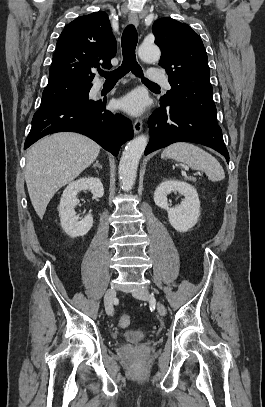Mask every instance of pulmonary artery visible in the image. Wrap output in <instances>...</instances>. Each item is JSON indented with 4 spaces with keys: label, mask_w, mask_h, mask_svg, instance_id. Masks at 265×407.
Here are the masks:
<instances>
[{
    "label": "pulmonary artery",
    "mask_w": 265,
    "mask_h": 407,
    "mask_svg": "<svg viewBox=\"0 0 265 407\" xmlns=\"http://www.w3.org/2000/svg\"><path fill=\"white\" fill-rule=\"evenodd\" d=\"M148 77L150 82H153L155 84H162L166 87H169L167 77L159 69H150L148 72Z\"/></svg>",
    "instance_id": "pulmonary-artery-1"
}]
</instances>
